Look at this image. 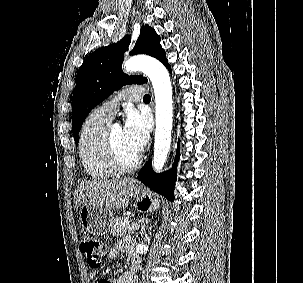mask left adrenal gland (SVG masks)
Wrapping results in <instances>:
<instances>
[{"mask_svg":"<svg viewBox=\"0 0 303 283\" xmlns=\"http://www.w3.org/2000/svg\"><path fill=\"white\" fill-rule=\"evenodd\" d=\"M149 221H146L144 224H142L140 228V235L143 237L146 234V228H148L147 224Z\"/></svg>","mask_w":303,"mask_h":283,"instance_id":"obj_1","label":"left adrenal gland"}]
</instances>
